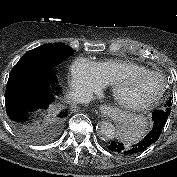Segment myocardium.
Returning <instances> with one entry per match:
<instances>
[{"instance_id":"myocardium-1","label":"myocardium","mask_w":177,"mask_h":177,"mask_svg":"<svg viewBox=\"0 0 177 177\" xmlns=\"http://www.w3.org/2000/svg\"><path fill=\"white\" fill-rule=\"evenodd\" d=\"M140 76H152V77L158 78L161 82V88H160V91L158 92V94L149 100L141 101V102H137V103H130V102H126L123 99H121L119 93H120V88L123 85V83L127 79L136 78V77H140ZM165 89H166L165 80L160 73L154 72L151 70H145V71L129 72V73H125V74L119 76L112 84L111 93H112V97H113L114 101L121 108L129 110V111H141V110L147 109V108L151 107L152 105H154L155 103H157L164 95Z\"/></svg>"}]
</instances>
